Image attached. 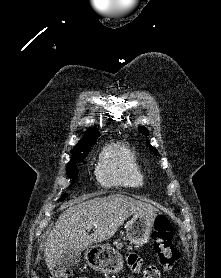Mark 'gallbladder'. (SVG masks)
I'll list each match as a JSON object with an SVG mask.
<instances>
[{"label":"gallbladder","instance_id":"obj_1","mask_svg":"<svg viewBox=\"0 0 221 278\" xmlns=\"http://www.w3.org/2000/svg\"><path fill=\"white\" fill-rule=\"evenodd\" d=\"M80 259H81L80 252L65 250L57 259L56 264L64 268H68L78 264Z\"/></svg>","mask_w":221,"mask_h":278}]
</instances>
